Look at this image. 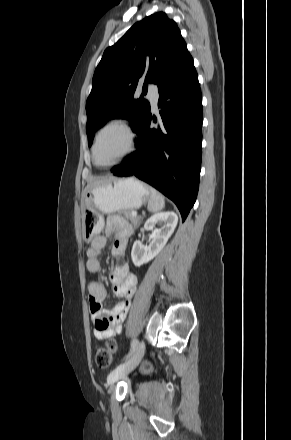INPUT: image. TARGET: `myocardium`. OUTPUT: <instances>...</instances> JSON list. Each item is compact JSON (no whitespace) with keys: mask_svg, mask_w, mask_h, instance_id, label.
<instances>
[{"mask_svg":"<svg viewBox=\"0 0 291 440\" xmlns=\"http://www.w3.org/2000/svg\"><path fill=\"white\" fill-rule=\"evenodd\" d=\"M111 129H119L126 135V149H125L124 153L118 159H116L112 162L106 163V164H98L96 162V158H95L98 142H99L101 136L105 132H107ZM134 147H135V133H134L132 127L130 126V124L126 120H123V119H112V120L106 122L103 126H101L94 136L92 150H91L92 151V161H93L94 165L99 168H111V167L118 165L126 158H128L132 154Z\"/></svg>","mask_w":291,"mask_h":440,"instance_id":"myocardium-1","label":"myocardium"}]
</instances>
